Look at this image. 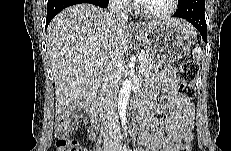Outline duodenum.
Instances as JSON below:
<instances>
[{"label":"duodenum","mask_w":231,"mask_h":151,"mask_svg":"<svg viewBox=\"0 0 231 151\" xmlns=\"http://www.w3.org/2000/svg\"><path fill=\"white\" fill-rule=\"evenodd\" d=\"M96 91H97L96 88L93 87L89 95L84 99V101H82V104L85 108H87L91 112L93 121L100 122L105 119L106 114L104 110L99 109L96 106L95 103ZM134 108L136 110V115L141 117L143 115V105L139 99L135 100Z\"/></svg>","instance_id":"1"}]
</instances>
